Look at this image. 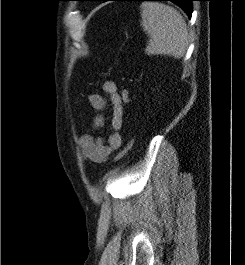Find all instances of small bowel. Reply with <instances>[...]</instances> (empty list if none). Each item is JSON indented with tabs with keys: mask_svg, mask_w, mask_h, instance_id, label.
Wrapping results in <instances>:
<instances>
[{
	"mask_svg": "<svg viewBox=\"0 0 245 265\" xmlns=\"http://www.w3.org/2000/svg\"><path fill=\"white\" fill-rule=\"evenodd\" d=\"M103 90L107 96L100 94H90L88 96L89 105L99 112L94 119V128L99 129L105 125L104 112L111 108V134L105 143L101 138L93 135H83L78 145L85 159L92 162H103L109 155L120 148L123 142L121 128L123 124V102L117 85L112 81L103 83Z\"/></svg>",
	"mask_w": 245,
	"mask_h": 265,
	"instance_id": "obj_1",
	"label": "small bowel"
}]
</instances>
